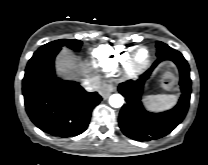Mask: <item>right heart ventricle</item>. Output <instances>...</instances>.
<instances>
[{"label": "right heart ventricle", "instance_id": "1", "mask_svg": "<svg viewBox=\"0 0 208 165\" xmlns=\"http://www.w3.org/2000/svg\"><path fill=\"white\" fill-rule=\"evenodd\" d=\"M134 47L101 45L91 53L93 64L104 72H110L127 60Z\"/></svg>", "mask_w": 208, "mask_h": 165}]
</instances>
